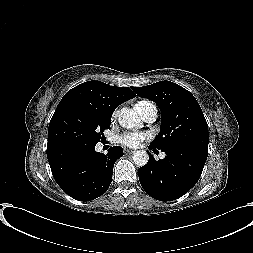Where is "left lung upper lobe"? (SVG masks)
Wrapping results in <instances>:
<instances>
[{"label":"left lung upper lobe","instance_id":"5c2ea615","mask_svg":"<svg viewBox=\"0 0 253 253\" xmlns=\"http://www.w3.org/2000/svg\"><path fill=\"white\" fill-rule=\"evenodd\" d=\"M132 89L137 95L154 101L161 111L160 132L151 146L160 150L188 147L208 153V125L188 90L170 81Z\"/></svg>","mask_w":253,"mask_h":253}]
</instances>
